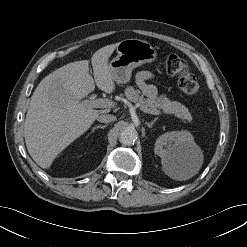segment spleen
I'll return each instance as SVG.
<instances>
[{
	"mask_svg": "<svg viewBox=\"0 0 247 247\" xmlns=\"http://www.w3.org/2000/svg\"><path fill=\"white\" fill-rule=\"evenodd\" d=\"M181 161L182 160H179L178 162H181ZM176 169H179V167L176 166ZM168 173L171 177L175 179H180V180H186L195 174V173H191L189 175H184V174L182 175V173L178 172V170H172L171 168L168 169Z\"/></svg>",
	"mask_w": 247,
	"mask_h": 247,
	"instance_id": "obj_1",
	"label": "spleen"
}]
</instances>
